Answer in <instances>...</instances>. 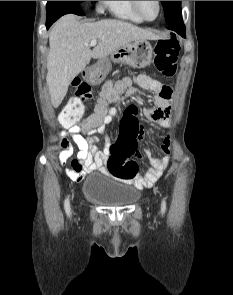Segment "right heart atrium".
Here are the masks:
<instances>
[{
    "instance_id": "right-heart-atrium-1",
    "label": "right heart atrium",
    "mask_w": 233,
    "mask_h": 295,
    "mask_svg": "<svg viewBox=\"0 0 233 295\" xmlns=\"http://www.w3.org/2000/svg\"><path fill=\"white\" fill-rule=\"evenodd\" d=\"M105 5V1H98V4H97V10L99 12H102L103 11V7Z\"/></svg>"
}]
</instances>
